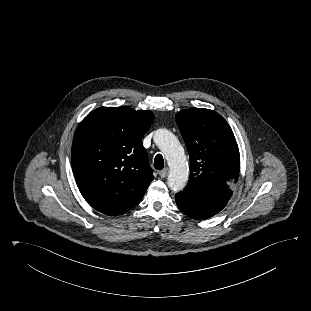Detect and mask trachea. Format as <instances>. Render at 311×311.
I'll list each match as a JSON object with an SVG mask.
<instances>
[{
    "mask_svg": "<svg viewBox=\"0 0 311 311\" xmlns=\"http://www.w3.org/2000/svg\"><path fill=\"white\" fill-rule=\"evenodd\" d=\"M154 167L157 170H162L164 168V159L161 154H157L154 158Z\"/></svg>",
    "mask_w": 311,
    "mask_h": 311,
    "instance_id": "1",
    "label": "trachea"
}]
</instances>
